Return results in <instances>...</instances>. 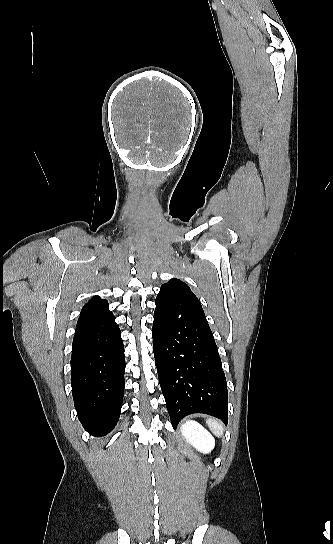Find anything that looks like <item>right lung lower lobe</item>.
<instances>
[{
  "mask_svg": "<svg viewBox=\"0 0 333 544\" xmlns=\"http://www.w3.org/2000/svg\"><path fill=\"white\" fill-rule=\"evenodd\" d=\"M125 356L112 313L77 325L72 344L71 384L84 429L104 436L116 425L124 395Z\"/></svg>",
  "mask_w": 333,
  "mask_h": 544,
  "instance_id": "98d812e1",
  "label": "right lung lower lobe"
}]
</instances>
